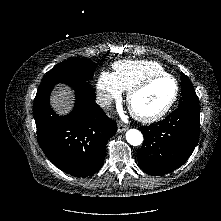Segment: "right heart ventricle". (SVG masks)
<instances>
[{
	"instance_id": "obj_1",
	"label": "right heart ventricle",
	"mask_w": 221,
	"mask_h": 221,
	"mask_svg": "<svg viewBox=\"0 0 221 221\" xmlns=\"http://www.w3.org/2000/svg\"><path fill=\"white\" fill-rule=\"evenodd\" d=\"M113 70L114 78L123 91H129L150 76L165 72L158 63L145 60L117 61L113 64Z\"/></svg>"
}]
</instances>
